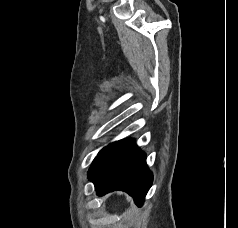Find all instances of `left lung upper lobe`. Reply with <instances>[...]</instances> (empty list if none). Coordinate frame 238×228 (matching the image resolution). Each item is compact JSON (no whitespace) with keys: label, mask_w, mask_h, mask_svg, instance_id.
<instances>
[{"label":"left lung upper lobe","mask_w":238,"mask_h":228,"mask_svg":"<svg viewBox=\"0 0 238 228\" xmlns=\"http://www.w3.org/2000/svg\"><path fill=\"white\" fill-rule=\"evenodd\" d=\"M110 145H108L107 147L103 148L98 155L96 156V158L94 159L89 171H88V176H90L91 174H93L95 172V170L97 169V167L99 166V164L101 163L106 151L108 150Z\"/></svg>","instance_id":"5c2ea615"}]
</instances>
